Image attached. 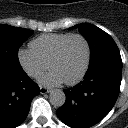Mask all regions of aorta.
<instances>
[{
  "mask_svg": "<svg viewBox=\"0 0 128 128\" xmlns=\"http://www.w3.org/2000/svg\"><path fill=\"white\" fill-rule=\"evenodd\" d=\"M50 103L55 107H61L64 105L66 96L60 89H54L50 92Z\"/></svg>",
  "mask_w": 128,
  "mask_h": 128,
  "instance_id": "762f6f07",
  "label": "aorta"
}]
</instances>
